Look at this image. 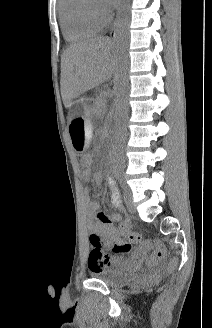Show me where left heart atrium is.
Returning <instances> with one entry per match:
<instances>
[{"label":"left heart atrium","instance_id":"39dd6f15","mask_svg":"<svg viewBox=\"0 0 212 328\" xmlns=\"http://www.w3.org/2000/svg\"><path fill=\"white\" fill-rule=\"evenodd\" d=\"M116 0H104V4L108 7L111 8L114 6Z\"/></svg>","mask_w":212,"mask_h":328}]
</instances>
